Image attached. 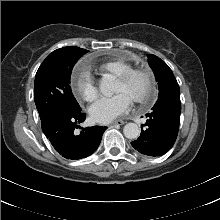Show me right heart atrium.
I'll use <instances>...</instances> for the list:
<instances>
[{
    "instance_id": "d8ad5b80",
    "label": "right heart atrium",
    "mask_w": 220,
    "mask_h": 220,
    "mask_svg": "<svg viewBox=\"0 0 220 220\" xmlns=\"http://www.w3.org/2000/svg\"><path fill=\"white\" fill-rule=\"evenodd\" d=\"M74 90L80 98L91 102L98 97L99 89L96 81L88 72H81L75 80Z\"/></svg>"
}]
</instances>
